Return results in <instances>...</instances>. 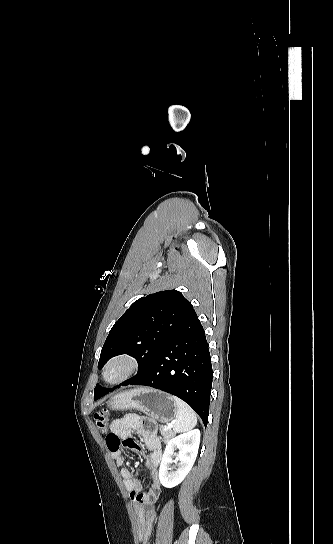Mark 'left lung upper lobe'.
<instances>
[{"mask_svg":"<svg viewBox=\"0 0 333 544\" xmlns=\"http://www.w3.org/2000/svg\"><path fill=\"white\" fill-rule=\"evenodd\" d=\"M192 310L191 303L177 290L160 291L136 300L111 328L102 347L98 368L116 355L129 354L138 360L139 371L121 385L132 382L146 371ZM114 389L97 385L94 397Z\"/></svg>","mask_w":333,"mask_h":544,"instance_id":"obj_1","label":"left lung upper lobe"}]
</instances>
